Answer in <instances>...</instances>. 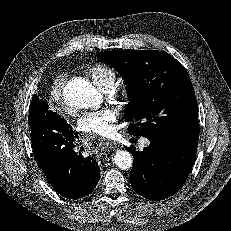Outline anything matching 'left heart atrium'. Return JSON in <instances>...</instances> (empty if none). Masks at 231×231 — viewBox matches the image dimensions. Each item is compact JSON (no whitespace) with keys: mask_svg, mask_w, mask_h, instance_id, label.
I'll list each match as a JSON object with an SVG mask.
<instances>
[{"mask_svg":"<svg viewBox=\"0 0 231 231\" xmlns=\"http://www.w3.org/2000/svg\"><path fill=\"white\" fill-rule=\"evenodd\" d=\"M116 119V109L107 107L86 114L80 120L79 126L87 133L106 136L112 132Z\"/></svg>","mask_w":231,"mask_h":231,"instance_id":"left-heart-atrium-1","label":"left heart atrium"}]
</instances>
